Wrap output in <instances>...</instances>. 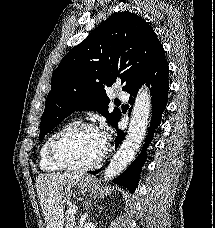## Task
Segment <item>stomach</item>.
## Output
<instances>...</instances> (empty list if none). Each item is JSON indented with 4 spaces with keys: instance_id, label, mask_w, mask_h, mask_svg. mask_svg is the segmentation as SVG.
<instances>
[{
    "instance_id": "obj_1",
    "label": "stomach",
    "mask_w": 215,
    "mask_h": 228,
    "mask_svg": "<svg viewBox=\"0 0 215 228\" xmlns=\"http://www.w3.org/2000/svg\"><path fill=\"white\" fill-rule=\"evenodd\" d=\"M98 182H92L91 178H84V180H81L80 184H73V186H66L64 188V194L65 196H70L72 194V188L74 186H77V188H80L81 192H91L93 190L94 186H97Z\"/></svg>"
}]
</instances>
